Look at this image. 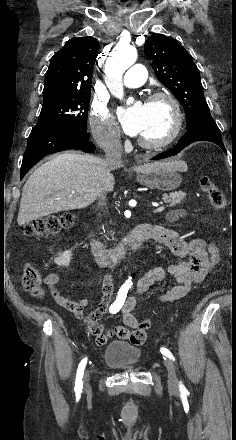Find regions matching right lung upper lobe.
Returning a JSON list of instances; mask_svg holds the SVG:
<instances>
[{"instance_id":"cb5924a9","label":"right lung upper lobe","mask_w":236,"mask_h":440,"mask_svg":"<svg viewBox=\"0 0 236 440\" xmlns=\"http://www.w3.org/2000/svg\"><path fill=\"white\" fill-rule=\"evenodd\" d=\"M99 43L93 37L72 38L51 58L45 74L43 104L90 93Z\"/></svg>"}]
</instances>
